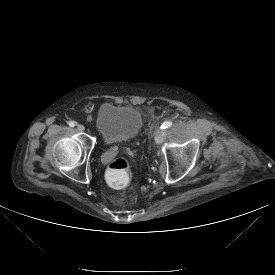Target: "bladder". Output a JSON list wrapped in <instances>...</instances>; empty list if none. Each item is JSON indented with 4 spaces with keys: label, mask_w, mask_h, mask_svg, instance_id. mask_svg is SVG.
Returning <instances> with one entry per match:
<instances>
[{
    "label": "bladder",
    "mask_w": 275,
    "mask_h": 275,
    "mask_svg": "<svg viewBox=\"0 0 275 275\" xmlns=\"http://www.w3.org/2000/svg\"><path fill=\"white\" fill-rule=\"evenodd\" d=\"M144 123L142 112L132 105L103 104L96 117L97 130L108 143L136 139Z\"/></svg>",
    "instance_id": "31cf9c89"
}]
</instances>
